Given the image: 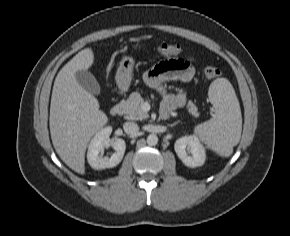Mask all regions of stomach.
<instances>
[{
	"label": "stomach",
	"instance_id": "0dacf381",
	"mask_svg": "<svg viewBox=\"0 0 290 236\" xmlns=\"http://www.w3.org/2000/svg\"><path fill=\"white\" fill-rule=\"evenodd\" d=\"M135 61L132 57L125 56L119 63L116 72V84L122 90L127 89L132 79Z\"/></svg>",
	"mask_w": 290,
	"mask_h": 236
}]
</instances>
